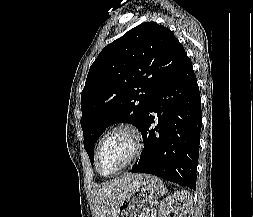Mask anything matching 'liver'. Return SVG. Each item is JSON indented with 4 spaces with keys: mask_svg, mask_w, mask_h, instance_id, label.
Here are the masks:
<instances>
[{
    "mask_svg": "<svg viewBox=\"0 0 253 217\" xmlns=\"http://www.w3.org/2000/svg\"><path fill=\"white\" fill-rule=\"evenodd\" d=\"M141 176L142 174H123L110 182L98 185L93 190L95 217H116L121 203Z\"/></svg>",
    "mask_w": 253,
    "mask_h": 217,
    "instance_id": "6515ba94",
    "label": "liver"
}]
</instances>
